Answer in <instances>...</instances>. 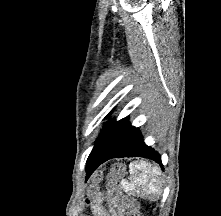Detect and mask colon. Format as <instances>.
<instances>
[{"mask_svg":"<svg viewBox=\"0 0 221 216\" xmlns=\"http://www.w3.org/2000/svg\"><path fill=\"white\" fill-rule=\"evenodd\" d=\"M120 171H116L112 177L109 178L107 184V194L115 202L122 216H141L137 201L127 195L121 193L116 181V176ZM97 194V189L94 187L93 195Z\"/></svg>","mask_w":221,"mask_h":216,"instance_id":"5ec220e1","label":"colon"}]
</instances>
